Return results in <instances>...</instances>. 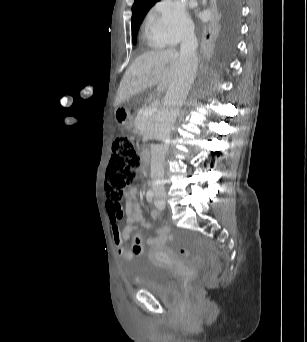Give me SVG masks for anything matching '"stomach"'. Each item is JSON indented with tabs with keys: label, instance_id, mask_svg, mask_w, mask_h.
Returning a JSON list of instances; mask_svg holds the SVG:
<instances>
[{
	"label": "stomach",
	"instance_id": "0dacf381",
	"mask_svg": "<svg viewBox=\"0 0 307 342\" xmlns=\"http://www.w3.org/2000/svg\"><path fill=\"white\" fill-rule=\"evenodd\" d=\"M115 116L117 122L123 127V128H130L132 126V117L130 113L127 110L118 108L115 111Z\"/></svg>",
	"mask_w": 307,
	"mask_h": 342
}]
</instances>
